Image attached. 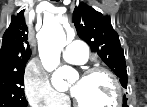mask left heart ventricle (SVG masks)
<instances>
[{"label":"left heart ventricle","mask_w":147,"mask_h":107,"mask_svg":"<svg viewBox=\"0 0 147 107\" xmlns=\"http://www.w3.org/2000/svg\"><path fill=\"white\" fill-rule=\"evenodd\" d=\"M77 89L75 98L89 107H109L115 99V90L110 79L102 74L92 77H76L72 81Z\"/></svg>","instance_id":"left-heart-ventricle-1"}]
</instances>
